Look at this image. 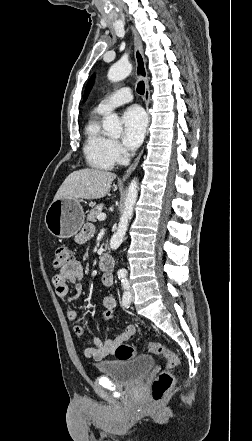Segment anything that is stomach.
I'll use <instances>...</instances> for the list:
<instances>
[{"label": "stomach", "mask_w": 252, "mask_h": 441, "mask_svg": "<svg viewBox=\"0 0 252 441\" xmlns=\"http://www.w3.org/2000/svg\"><path fill=\"white\" fill-rule=\"evenodd\" d=\"M81 199H54L45 214V224L49 232L58 238L73 237L84 224Z\"/></svg>", "instance_id": "obj_1"}]
</instances>
